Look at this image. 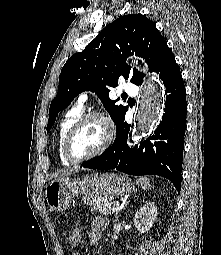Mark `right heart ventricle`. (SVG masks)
I'll return each instance as SVG.
<instances>
[{"label": "right heart ventricle", "instance_id": "e07e8e85", "mask_svg": "<svg viewBox=\"0 0 221 255\" xmlns=\"http://www.w3.org/2000/svg\"><path fill=\"white\" fill-rule=\"evenodd\" d=\"M83 114V107L76 105L67 111L64 116L62 117L58 130H57V151L60 162L64 166H71L72 163L69 162L65 155H64V142L67 136L68 131L73 126V124L82 116Z\"/></svg>", "mask_w": 221, "mask_h": 255}]
</instances>
